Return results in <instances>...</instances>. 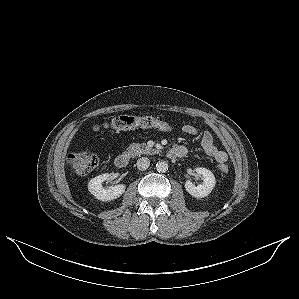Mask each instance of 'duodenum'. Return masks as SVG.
I'll return each mask as SVG.
<instances>
[{"mask_svg": "<svg viewBox=\"0 0 299 299\" xmlns=\"http://www.w3.org/2000/svg\"><path fill=\"white\" fill-rule=\"evenodd\" d=\"M187 153V149L183 146L172 147L168 151V156L170 158L183 157ZM130 162V156L128 154H120L115 158V166L119 169H124L128 166Z\"/></svg>", "mask_w": 299, "mask_h": 299, "instance_id": "410a0bca", "label": "duodenum"}]
</instances>
